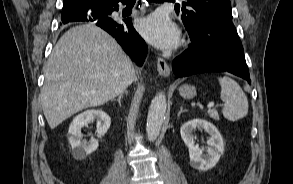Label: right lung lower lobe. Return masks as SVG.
<instances>
[{
  "label": "right lung lower lobe",
  "instance_id": "right-lung-lower-lobe-1",
  "mask_svg": "<svg viewBox=\"0 0 293 184\" xmlns=\"http://www.w3.org/2000/svg\"><path fill=\"white\" fill-rule=\"evenodd\" d=\"M119 2L125 3V0H112L105 4L80 10L73 16L62 18V23L66 24L72 21L94 22L111 34L124 51L131 56L132 60L142 64L148 48L145 41L133 28L132 20L116 21L111 17L112 12L118 11Z\"/></svg>",
  "mask_w": 293,
  "mask_h": 184
}]
</instances>
